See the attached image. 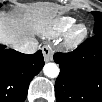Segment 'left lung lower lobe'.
Segmentation results:
<instances>
[{
	"mask_svg": "<svg viewBox=\"0 0 102 102\" xmlns=\"http://www.w3.org/2000/svg\"><path fill=\"white\" fill-rule=\"evenodd\" d=\"M60 65L55 83L58 102L102 101V33L85 40L70 53H56Z\"/></svg>",
	"mask_w": 102,
	"mask_h": 102,
	"instance_id": "1",
	"label": "left lung lower lobe"
}]
</instances>
